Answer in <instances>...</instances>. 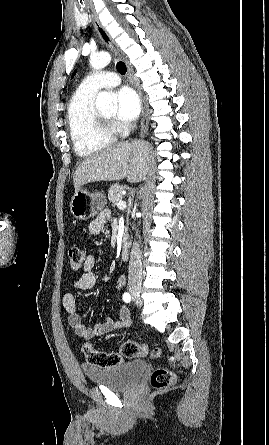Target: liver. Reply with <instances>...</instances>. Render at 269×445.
I'll return each instance as SVG.
<instances>
[{
	"label": "liver",
	"mask_w": 269,
	"mask_h": 445,
	"mask_svg": "<svg viewBox=\"0 0 269 445\" xmlns=\"http://www.w3.org/2000/svg\"><path fill=\"white\" fill-rule=\"evenodd\" d=\"M149 146L147 143L121 142L107 147L84 159L73 175L75 192L81 186L96 181H118L127 178L130 183L141 181L147 171Z\"/></svg>",
	"instance_id": "liver-1"
}]
</instances>
